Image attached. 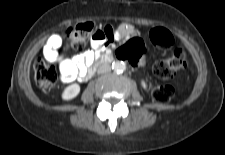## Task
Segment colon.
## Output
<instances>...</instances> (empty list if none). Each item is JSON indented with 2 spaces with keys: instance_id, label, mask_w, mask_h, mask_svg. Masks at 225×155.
<instances>
[{
  "instance_id": "1",
  "label": "colon",
  "mask_w": 225,
  "mask_h": 155,
  "mask_svg": "<svg viewBox=\"0 0 225 155\" xmlns=\"http://www.w3.org/2000/svg\"><path fill=\"white\" fill-rule=\"evenodd\" d=\"M92 31L93 24L90 22L70 27L65 33L67 47L76 51H82ZM149 40L153 45L161 47H169L174 43L171 32L163 27L152 29L149 33ZM144 51L143 38L135 36L122 48L116 50L115 57L119 61L127 59L129 65L136 66L142 61ZM187 65L186 52L182 48H177L170 58L160 60L154 64L153 73L160 80L167 81L172 79L179 71L184 70ZM33 70L36 84L42 90L49 89L58 79L55 67L43 58L35 60ZM150 92L153 100L157 103H167L174 95V89L170 85H152Z\"/></svg>"
}]
</instances>
